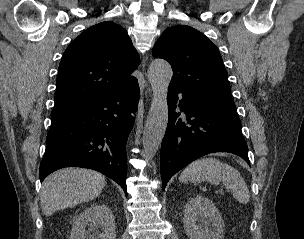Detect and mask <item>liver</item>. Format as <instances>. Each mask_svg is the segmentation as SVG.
I'll return each instance as SVG.
<instances>
[{
	"instance_id": "obj_1",
	"label": "liver",
	"mask_w": 304,
	"mask_h": 239,
	"mask_svg": "<svg viewBox=\"0 0 304 239\" xmlns=\"http://www.w3.org/2000/svg\"><path fill=\"white\" fill-rule=\"evenodd\" d=\"M105 176L84 168H64L43 182L40 204L45 216L97 197L105 186Z\"/></svg>"
}]
</instances>
